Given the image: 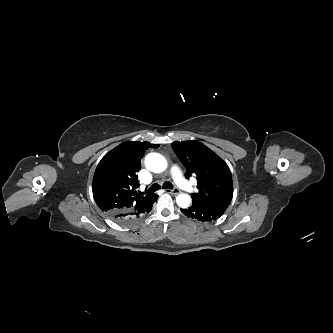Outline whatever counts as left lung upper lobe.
Masks as SVG:
<instances>
[{"label": "left lung upper lobe", "instance_id": "1", "mask_svg": "<svg viewBox=\"0 0 333 333\" xmlns=\"http://www.w3.org/2000/svg\"><path fill=\"white\" fill-rule=\"evenodd\" d=\"M172 148L186 167V178H197L198 193L192 195L193 201L227 208L233 197V182L225 161L196 140L176 141Z\"/></svg>", "mask_w": 333, "mask_h": 333}]
</instances>
